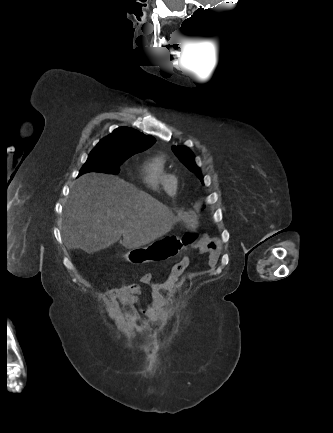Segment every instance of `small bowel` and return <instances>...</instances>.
I'll return each mask as SVG.
<instances>
[{
    "label": "small bowel",
    "mask_w": 333,
    "mask_h": 433,
    "mask_svg": "<svg viewBox=\"0 0 333 433\" xmlns=\"http://www.w3.org/2000/svg\"><path fill=\"white\" fill-rule=\"evenodd\" d=\"M197 249L200 253L208 254L207 264L209 267L217 265L220 256V247L217 243H204L197 247ZM176 256L178 258L172 265L169 276L164 281L154 280L153 274L147 272L142 275L139 282L131 283L126 287L110 292V299L119 300L128 306L125 319L119 316L114 318L119 329L128 337L143 329L138 321L140 315H144L162 324L167 323L160 311L165 306L173 303L169 297V293L189 266L191 257L189 254L182 252L181 247ZM145 287L150 292L149 303H143L142 301V293Z\"/></svg>",
    "instance_id": "c3829d8e"
}]
</instances>
